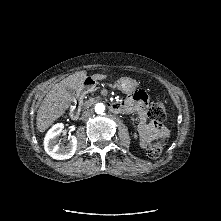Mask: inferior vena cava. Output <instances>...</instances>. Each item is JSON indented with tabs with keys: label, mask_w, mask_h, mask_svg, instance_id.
<instances>
[{
	"label": "inferior vena cava",
	"mask_w": 221,
	"mask_h": 221,
	"mask_svg": "<svg viewBox=\"0 0 221 221\" xmlns=\"http://www.w3.org/2000/svg\"><path fill=\"white\" fill-rule=\"evenodd\" d=\"M93 114H94L93 109H88L82 113L81 119L87 120L88 118L92 117Z\"/></svg>",
	"instance_id": "inferior-vena-cava-1"
}]
</instances>
